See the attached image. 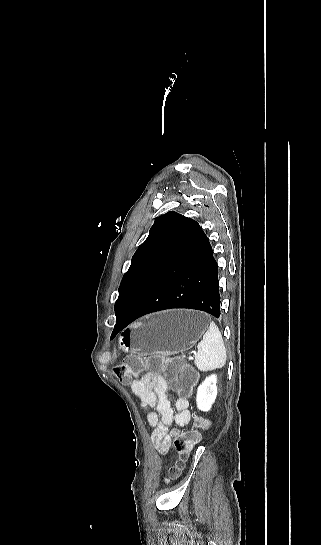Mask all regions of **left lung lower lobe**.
<instances>
[{
    "instance_id": "0a47b994",
    "label": "left lung lower lobe",
    "mask_w": 321,
    "mask_h": 545,
    "mask_svg": "<svg viewBox=\"0 0 321 545\" xmlns=\"http://www.w3.org/2000/svg\"><path fill=\"white\" fill-rule=\"evenodd\" d=\"M171 308L220 315L217 262L207 236L192 219L130 312L117 315L114 332L143 315Z\"/></svg>"
}]
</instances>
